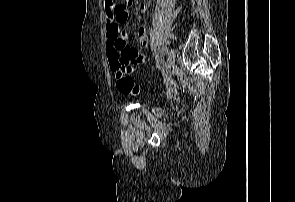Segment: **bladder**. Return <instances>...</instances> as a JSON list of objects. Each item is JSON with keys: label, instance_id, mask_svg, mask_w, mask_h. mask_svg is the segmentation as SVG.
<instances>
[{"label": "bladder", "instance_id": "obj_1", "mask_svg": "<svg viewBox=\"0 0 295 202\" xmlns=\"http://www.w3.org/2000/svg\"><path fill=\"white\" fill-rule=\"evenodd\" d=\"M151 113L155 116H160V115H162L163 112L160 108L154 107L151 109Z\"/></svg>", "mask_w": 295, "mask_h": 202}]
</instances>
